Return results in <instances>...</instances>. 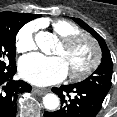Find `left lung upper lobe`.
Returning a JSON list of instances; mask_svg holds the SVG:
<instances>
[{"label": "left lung upper lobe", "mask_w": 117, "mask_h": 117, "mask_svg": "<svg viewBox=\"0 0 117 117\" xmlns=\"http://www.w3.org/2000/svg\"><path fill=\"white\" fill-rule=\"evenodd\" d=\"M73 20L78 23L82 28L92 34V36L99 42L102 49V61L99 67L90 75L87 79L78 82V84L92 88L104 96L108 93L111 87L112 78V59L109 49L104 41V39L90 26H88L84 21L78 18H73Z\"/></svg>", "instance_id": "obj_1"}]
</instances>
